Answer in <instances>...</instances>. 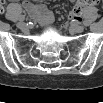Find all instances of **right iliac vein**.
I'll return each mask as SVG.
<instances>
[{
    "label": "right iliac vein",
    "mask_w": 103,
    "mask_h": 103,
    "mask_svg": "<svg viewBox=\"0 0 103 103\" xmlns=\"http://www.w3.org/2000/svg\"><path fill=\"white\" fill-rule=\"evenodd\" d=\"M17 27L20 28V29H24L27 27V24L23 21H20L17 23Z\"/></svg>",
    "instance_id": "63e3f726"
}]
</instances>
